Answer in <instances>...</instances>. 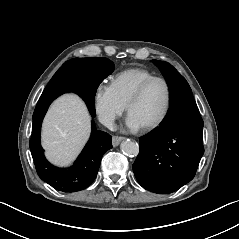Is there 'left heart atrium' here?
<instances>
[{"label":"left heart atrium","mask_w":239,"mask_h":239,"mask_svg":"<svg viewBox=\"0 0 239 239\" xmlns=\"http://www.w3.org/2000/svg\"><path fill=\"white\" fill-rule=\"evenodd\" d=\"M127 126L132 131H138L141 128H143V125L132 114H129L128 117H127Z\"/></svg>","instance_id":"1"}]
</instances>
